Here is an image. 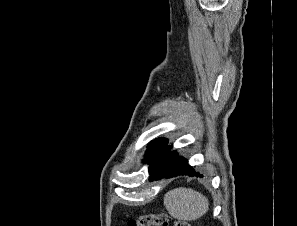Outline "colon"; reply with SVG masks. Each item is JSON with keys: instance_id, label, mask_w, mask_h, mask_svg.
I'll list each match as a JSON object with an SVG mask.
<instances>
[{"instance_id": "obj_1", "label": "colon", "mask_w": 297, "mask_h": 226, "mask_svg": "<svg viewBox=\"0 0 297 226\" xmlns=\"http://www.w3.org/2000/svg\"><path fill=\"white\" fill-rule=\"evenodd\" d=\"M126 226H191L188 221L174 220L165 213L146 214L131 218Z\"/></svg>"}]
</instances>
